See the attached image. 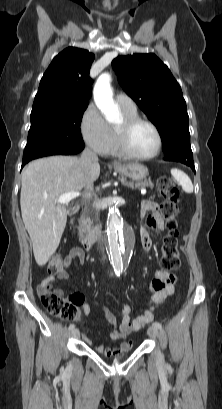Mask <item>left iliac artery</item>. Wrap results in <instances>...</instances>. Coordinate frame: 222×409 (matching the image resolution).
I'll use <instances>...</instances> for the list:
<instances>
[{"instance_id": "obj_1", "label": "left iliac artery", "mask_w": 222, "mask_h": 409, "mask_svg": "<svg viewBox=\"0 0 222 409\" xmlns=\"http://www.w3.org/2000/svg\"><path fill=\"white\" fill-rule=\"evenodd\" d=\"M154 326H156L158 329H162V325L159 322H154Z\"/></svg>"}]
</instances>
